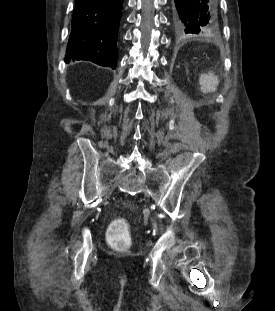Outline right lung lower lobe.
<instances>
[{"label": "right lung lower lobe", "mask_w": 275, "mask_h": 311, "mask_svg": "<svg viewBox=\"0 0 275 311\" xmlns=\"http://www.w3.org/2000/svg\"><path fill=\"white\" fill-rule=\"evenodd\" d=\"M122 3L123 0H76L66 63L89 60L116 68Z\"/></svg>", "instance_id": "obj_1"}]
</instances>
